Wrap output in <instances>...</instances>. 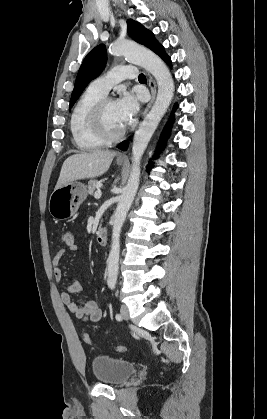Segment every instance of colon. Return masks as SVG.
Masks as SVG:
<instances>
[{"instance_id":"1","label":"colon","mask_w":267,"mask_h":419,"mask_svg":"<svg viewBox=\"0 0 267 419\" xmlns=\"http://www.w3.org/2000/svg\"><path fill=\"white\" fill-rule=\"evenodd\" d=\"M62 241L66 245V247H73L75 244L74 235L71 231L66 230L62 234ZM83 340L87 344H91L92 339L91 336L88 333L83 334ZM116 351L118 352H126L127 349L124 346H117Z\"/></svg>"}]
</instances>
